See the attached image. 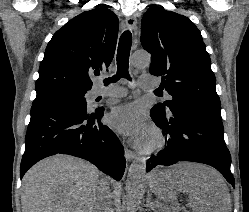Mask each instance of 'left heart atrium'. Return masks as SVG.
<instances>
[{"instance_id": "39dd6f15", "label": "left heart atrium", "mask_w": 249, "mask_h": 212, "mask_svg": "<svg viewBox=\"0 0 249 212\" xmlns=\"http://www.w3.org/2000/svg\"><path fill=\"white\" fill-rule=\"evenodd\" d=\"M108 124L118 132L130 136L138 146L147 142L148 128L135 104L114 108L108 117Z\"/></svg>"}]
</instances>
